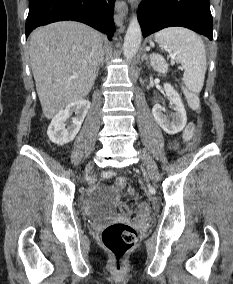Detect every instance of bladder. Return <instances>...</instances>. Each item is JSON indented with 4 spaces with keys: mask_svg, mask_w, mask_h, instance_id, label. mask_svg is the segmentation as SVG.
Wrapping results in <instances>:
<instances>
[{
    "mask_svg": "<svg viewBox=\"0 0 233 284\" xmlns=\"http://www.w3.org/2000/svg\"><path fill=\"white\" fill-rule=\"evenodd\" d=\"M115 192L113 189L107 186H100L96 188L89 196V200L100 206L107 205L111 202Z\"/></svg>",
    "mask_w": 233,
    "mask_h": 284,
    "instance_id": "31cf9c89",
    "label": "bladder"
}]
</instances>
